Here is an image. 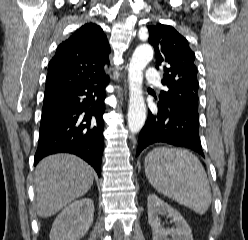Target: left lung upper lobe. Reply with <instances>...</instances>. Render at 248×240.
I'll list each match as a JSON object with an SVG mask.
<instances>
[{"mask_svg": "<svg viewBox=\"0 0 248 240\" xmlns=\"http://www.w3.org/2000/svg\"><path fill=\"white\" fill-rule=\"evenodd\" d=\"M148 42L155 49L157 68L164 66L162 83L169 90L161 91L160 104L165 106L193 107L198 109V80L195 54L188 41L172 26L156 24L147 26Z\"/></svg>", "mask_w": 248, "mask_h": 240, "instance_id": "1", "label": "left lung upper lobe"}]
</instances>
